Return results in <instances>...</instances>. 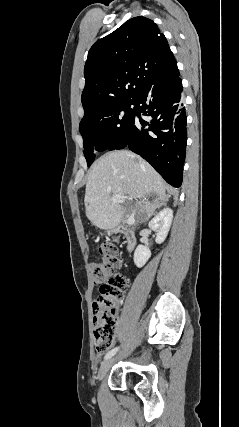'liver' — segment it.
I'll use <instances>...</instances> for the list:
<instances>
[{"label":"liver","mask_w":239,"mask_h":427,"mask_svg":"<svg viewBox=\"0 0 239 427\" xmlns=\"http://www.w3.org/2000/svg\"><path fill=\"white\" fill-rule=\"evenodd\" d=\"M166 187L154 168L136 154L119 150L100 157L91 167L85 190L86 216L103 230L116 228L136 209L126 208L123 202L111 201V196L143 199L154 195L153 203L144 206L148 217L157 207L164 205ZM142 208L141 203H138Z\"/></svg>","instance_id":"1"}]
</instances>
